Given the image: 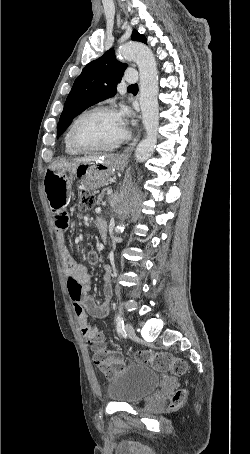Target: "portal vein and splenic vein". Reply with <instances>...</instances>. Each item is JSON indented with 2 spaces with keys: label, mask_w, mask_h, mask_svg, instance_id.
<instances>
[{
  "label": "portal vein and splenic vein",
  "mask_w": 250,
  "mask_h": 454,
  "mask_svg": "<svg viewBox=\"0 0 250 454\" xmlns=\"http://www.w3.org/2000/svg\"><path fill=\"white\" fill-rule=\"evenodd\" d=\"M108 193H112V191H111V190H109V191H108Z\"/></svg>",
  "instance_id": "1"
}]
</instances>
